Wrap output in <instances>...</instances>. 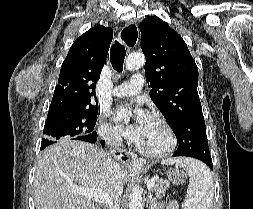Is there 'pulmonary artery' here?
<instances>
[{"label": "pulmonary artery", "instance_id": "obj_1", "mask_svg": "<svg viewBox=\"0 0 253 209\" xmlns=\"http://www.w3.org/2000/svg\"><path fill=\"white\" fill-rule=\"evenodd\" d=\"M144 86V77L141 73L134 74L128 82L116 86L112 93L117 97H127L138 94Z\"/></svg>", "mask_w": 253, "mask_h": 209}]
</instances>
